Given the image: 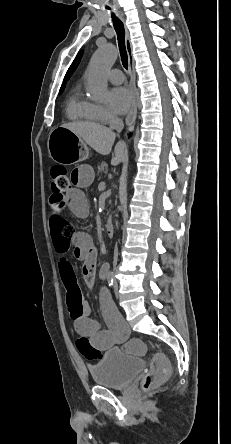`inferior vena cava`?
Returning a JSON list of instances; mask_svg holds the SVG:
<instances>
[{
  "instance_id": "obj_1",
  "label": "inferior vena cava",
  "mask_w": 231,
  "mask_h": 444,
  "mask_svg": "<svg viewBox=\"0 0 231 444\" xmlns=\"http://www.w3.org/2000/svg\"><path fill=\"white\" fill-rule=\"evenodd\" d=\"M123 128H124L123 120L117 116H113L110 121V129L117 130L120 132V131H122ZM116 255H117V252H116Z\"/></svg>"
}]
</instances>
